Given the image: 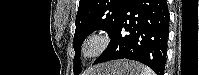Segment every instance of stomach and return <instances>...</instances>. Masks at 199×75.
Returning a JSON list of instances; mask_svg holds the SVG:
<instances>
[{"mask_svg": "<svg viewBox=\"0 0 199 75\" xmlns=\"http://www.w3.org/2000/svg\"><path fill=\"white\" fill-rule=\"evenodd\" d=\"M141 65L132 61H114L99 64L90 75H139Z\"/></svg>", "mask_w": 199, "mask_h": 75, "instance_id": "1", "label": "stomach"}]
</instances>
